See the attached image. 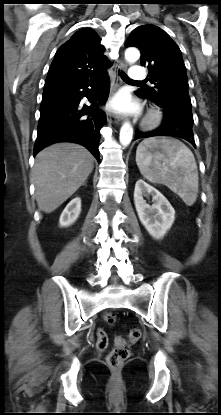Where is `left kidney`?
Wrapping results in <instances>:
<instances>
[{"label": "left kidney", "instance_id": "1", "mask_svg": "<svg viewBox=\"0 0 221 415\" xmlns=\"http://www.w3.org/2000/svg\"><path fill=\"white\" fill-rule=\"evenodd\" d=\"M148 195H152V205L144 200ZM134 204L148 233L154 239L163 238L175 220V210L169 201L157 189L140 179L135 184Z\"/></svg>", "mask_w": 221, "mask_h": 415}]
</instances>
